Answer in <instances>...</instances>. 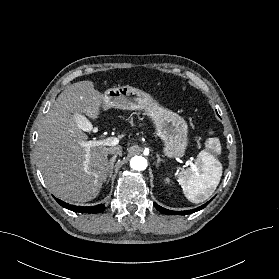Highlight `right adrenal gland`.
Segmentation results:
<instances>
[{
	"instance_id": "1",
	"label": "right adrenal gland",
	"mask_w": 279,
	"mask_h": 279,
	"mask_svg": "<svg viewBox=\"0 0 279 279\" xmlns=\"http://www.w3.org/2000/svg\"><path fill=\"white\" fill-rule=\"evenodd\" d=\"M116 157H117V155H114L109 161V165H108V169H107V175H106V179H105L106 184L109 183V180H110V178L113 174V167H114Z\"/></svg>"
}]
</instances>
